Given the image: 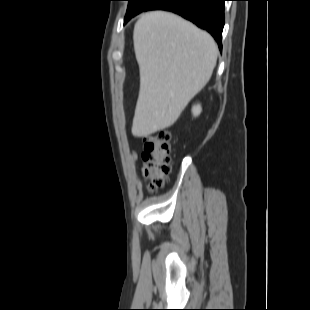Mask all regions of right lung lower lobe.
<instances>
[{"label": "right lung lower lobe", "mask_w": 310, "mask_h": 310, "mask_svg": "<svg viewBox=\"0 0 310 310\" xmlns=\"http://www.w3.org/2000/svg\"><path fill=\"white\" fill-rule=\"evenodd\" d=\"M224 1L225 0H158L142 11L163 9L177 13L195 23L198 27L208 31L218 43L219 48L222 49L221 38L225 22ZM135 15L125 17L124 23Z\"/></svg>", "instance_id": "obj_1"}]
</instances>
